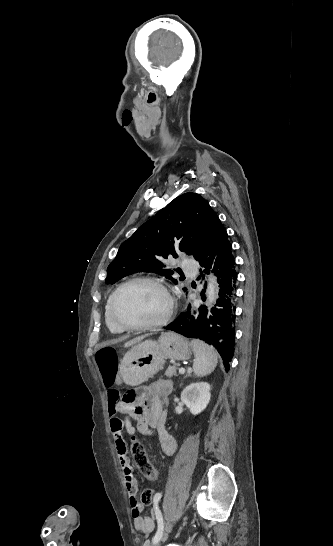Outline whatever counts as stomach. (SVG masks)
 I'll list each match as a JSON object with an SVG mask.
<instances>
[{"label": "stomach", "mask_w": 333, "mask_h": 546, "mask_svg": "<svg viewBox=\"0 0 333 546\" xmlns=\"http://www.w3.org/2000/svg\"><path fill=\"white\" fill-rule=\"evenodd\" d=\"M191 355V344L182 336L162 333L157 341L145 340L132 347L120 360L119 374L127 385L138 386L159 372L166 359L184 360Z\"/></svg>", "instance_id": "stomach-1"}]
</instances>
